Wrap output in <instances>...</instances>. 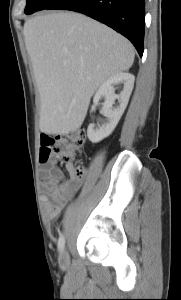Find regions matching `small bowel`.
<instances>
[{
  "mask_svg": "<svg viewBox=\"0 0 181 300\" xmlns=\"http://www.w3.org/2000/svg\"><path fill=\"white\" fill-rule=\"evenodd\" d=\"M81 179L64 177L63 171L54 160L45 163L41 170L40 185L46 197L44 208L51 220H56L66 203L79 189Z\"/></svg>",
  "mask_w": 181,
  "mask_h": 300,
  "instance_id": "obj_1",
  "label": "small bowel"
}]
</instances>
